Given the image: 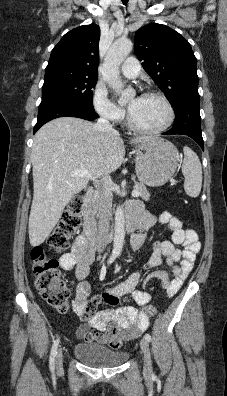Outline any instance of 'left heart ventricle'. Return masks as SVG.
Returning a JSON list of instances; mask_svg holds the SVG:
<instances>
[{
  "mask_svg": "<svg viewBox=\"0 0 227 396\" xmlns=\"http://www.w3.org/2000/svg\"><path fill=\"white\" fill-rule=\"evenodd\" d=\"M134 121L143 128H157L165 123L168 113L164 103L154 96L134 97L129 101Z\"/></svg>",
  "mask_w": 227,
  "mask_h": 396,
  "instance_id": "left-heart-ventricle-1",
  "label": "left heart ventricle"
}]
</instances>
